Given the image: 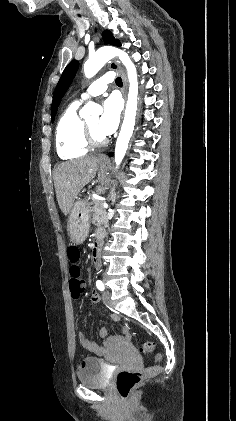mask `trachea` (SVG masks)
<instances>
[{"label": "trachea", "mask_w": 236, "mask_h": 421, "mask_svg": "<svg viewBox=\"0 0 236 421\" xmlns=\"http://www.w3.org/2000/svg\"><path fill=\"white\" fill-rule=\"evenodd\" d=\"M115 83H116V85H118L119 87H122V85H123V82H122V80H121V78H120V77H117V78H116Z\"/></svg>", "instance_id": "trachea-1"}]
</instances>
